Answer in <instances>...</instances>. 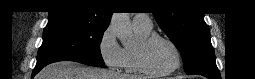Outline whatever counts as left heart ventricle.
I'll return each instance as SVG.
<instances>
[{
    "label": "left heart ventricle",
    "mask_w": 255,
    "mask_h": 79,
    "mask_svg": "<svg viewBox=\"0 0 255 79\" xmlns=\"http://www.w3.org/2000/svg\"><path fill=\"white\" fill-rule=\"evenodd\" d=\"M146 59L152 70L160 72L169 69L174 64L175 55L167 42L157 39L148 47Z\"/></svg>",
    "instance_id": "left-heart-ventricle-1"
}]
</instances>
